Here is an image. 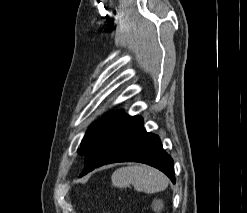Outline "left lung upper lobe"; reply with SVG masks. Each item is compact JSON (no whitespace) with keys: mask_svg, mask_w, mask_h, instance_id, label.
Instances as JSON below:
<instances>
[{"mask_svg":"<svg viewBox=\"0 0 247 213\" xmlns=\"http://www.w3.org/2000/svg\"><path fill=\"white\" fill-rule=\"evenodd\" d=\"M122 115V110L118 112H110L102 117L100 120L93 123L89 130L86 132L81 142V148H79L78 153L80 155H85L92 143L104 132H106Z\"/></svg>","mask_w":247,"mask_h":213,"instance_id":"left-lung-upper-lobe-1","label":"left lung upper lobe"}]
</instances>
